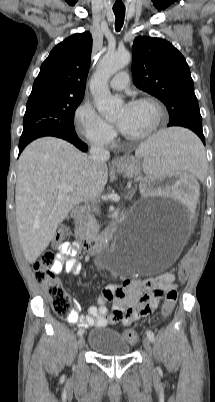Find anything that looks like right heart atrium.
I'll return each mask as SVG.
<instances>
[{"mask_svg":"<svg viewBox=\"0 0 215 402\" xmlns=\"http://www.w3.org/2000/svg\"><path fill=\"white\" fill-rule=\"evenodd\" d=\"M78 133L89 143L107 146L115 138L113 127L108 124L89 102H83L75 112Z\"/></svg>","mask_w":215,"mask_h":402,"instance_id":"right-heart-atrium-1","label":"right heart atrium"}]
</instances>
